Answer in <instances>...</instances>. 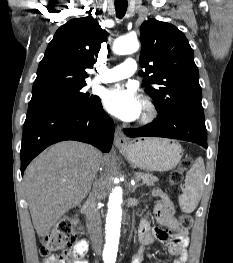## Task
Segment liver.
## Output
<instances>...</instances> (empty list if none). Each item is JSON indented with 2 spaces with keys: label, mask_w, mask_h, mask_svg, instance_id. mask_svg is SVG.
I'll list each match as a JSON object with an SVG mask.
<instances>
[{
  "label": "liver",
  "mask_w": 233,
  "mask_h": 263,
  "mask_svg": "<svg viewBox=\"0 0 233 263\" xmlns=\"http://www.w3.org/2000/svg\"><path fill=\"white\" fill-rule=\"evenodd\" d=\"M104 156L93 146L75 141L54 144L27 167L23 185L39 237L88 195Z\"/></svg>",
  "instance_id": "6515ba94"
}]
</instances>
